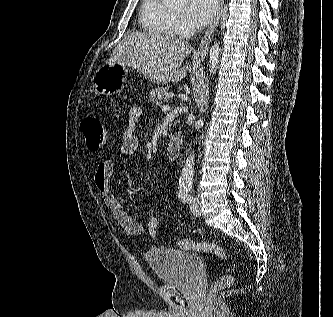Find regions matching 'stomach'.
I'll list each match as a JSON object with an SVG mask.
<instances>
[{
	"label": "stomach",
	"mask_w": 333,
	"mask_h": 317,
	"mask_svg": "<svg viewBox=\"0 0 333 317\" xmlns=\"http://www.w3.org/2000/svg\"><path fill=\"white\" fill-rule=\"evenodd\" d=\"M128 71L125 65L106 63L97 69L92 79V87L100 95H114L123 88Z\"/></svg>",
	"instance_id": "stomach-1"
}]
</instances>
